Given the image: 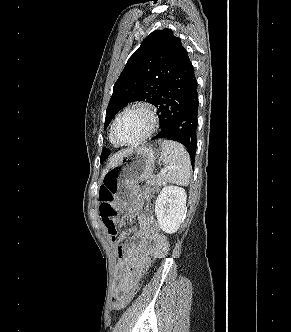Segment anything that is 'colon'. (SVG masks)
<instances>
[{"instance_id":"5ec220e1","label":"colon","mask_w":291,"mask_h":332,"mask_svg":"<svg viewBox=\"0 0 291 332\" xmlns=\"http://www.w3.org/2000/svg\"><path fill=\"white\" fill-rule=\"evenodd\" d=\"M154 189L152 187H146L144 189V195L148 198ZM99 208L102 221L113 241L122 239V231L119 229L117 224L118 210L115 206L114 197L112 193L106 188H102L99 193ZM138 288V283L136 282L130 289L124 292L115 301L113 307L116 310H121L125 308L130 301L133 299L135 292Z\"/></svg>"}]
</instances>
